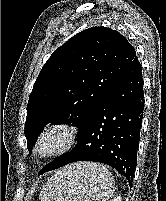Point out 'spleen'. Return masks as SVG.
I'll return each instance as SVG.
<instances>
[{
	"label": "spleen",
	"mask_w": 166,
	"mask_h": 201,
	"mask_svg": "<svg viewBox=\"0 0 166 201\" xmlns=\"http://www.w3.org/2000/svg\"><path fill=\"white\" fill-rule=\"evenodd\" d=\"M108 169L94 162H76L55 173L43 187L41 201H107L114 194Z\"/></svg>",
	"instance_id": "obj_1"
}]
</instances>
